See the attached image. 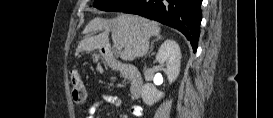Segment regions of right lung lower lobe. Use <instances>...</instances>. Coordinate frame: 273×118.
<instances>
[{"instance_id": "right-lung-lower-lobe-1", "label": "right lung lower lobe", "mask_w": 273, "mask_h": 118, "mask_svg": "<svg viewBox=\"0 0 273 118\" xmlns=\"http://www.w3.org/2000/svg\"><path fill=\"white\" fill-rule=\"evenodd\" d=\"M202 0H131L118 12L137 14L182 32L197 50Z\"/></svg>"}]
</instances>
